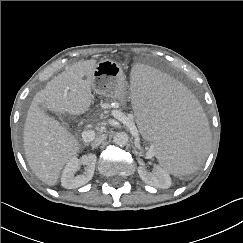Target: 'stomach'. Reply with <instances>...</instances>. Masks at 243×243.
Here are the masks:
<instances>
[{
    "instance_id": "obj_1",
    "label": "stomach",
    "mask_w": 243,
    "mask_h": 243,
    "mask_svg": "<svg viewBox=\"0 0 243 243\" xmlns=\"http://www.w3.org/2000/svg\"><path fill=\"white\" fill-rule=\"evenodd\" d=\"M92 89L96 94L118 100L122 105H125L127 83L120 65L109 59L101 60L93 72Z\"/></svg>"
}]
</instances>
